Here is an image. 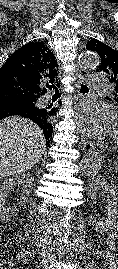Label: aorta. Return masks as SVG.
I'll list each match as a JSON object with an SVG mask.
<instances>
[{
  "label": "aorta",
  "mask_w": 118,
  "mask_h": 269,
  "mask_svg": "<svg viewBox=\"0 0 118 269\" xmlns=\"http://www.w3.org/2000/svg\"><path fill=\"white\" fill-rule=\"evenodd\" d=\"M79 63L84 68H96L100 59L99 56L91 51L84 52L79 57ZM102 164V156L99 151L94 150L88 153L80 162L79 169L83 176L97 174Z\"/></svg>",
  "instance_id": "762f6f07"
}]
</instances>
